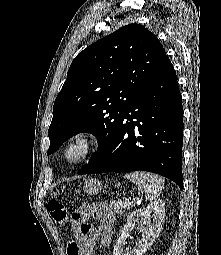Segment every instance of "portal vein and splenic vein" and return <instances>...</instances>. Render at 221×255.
<instances>
[{
	"instance_id": "obj_1",
	"label": "portal vein and splenic vein",
	"mask_w": 221,
	"mask_h": 255,
	"mask_svg": "<svg viewBox=\"0 0 221 255\" xmlns=\"http://www.w3.org/2000/svg\"><path fill=\"white\" fill-rule=\"evenodd\" d=\"M129 204H131L132 202H130V201H127Z\"/></svg>"
}]
</instances>
